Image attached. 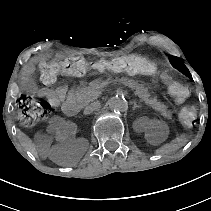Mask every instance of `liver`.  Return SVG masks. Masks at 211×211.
<instances>
[{
  "mask_svg": "<svg viewBox=\"0 0 211 211\" xmlns=\"http://www.w3.org/2000/svg\"><path fill=\"white\" fill-rule=\"evenodd\" d=\"M18 139L27 150L39 158L38 148L36 147L34 140L20 129H18Z\"/></svg>",
  "mask_w": 211,
  "mask_h": 211,
  "instance_id": "1",
  "label": "liver"
}]
</instances>
